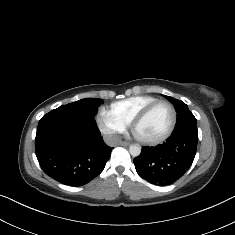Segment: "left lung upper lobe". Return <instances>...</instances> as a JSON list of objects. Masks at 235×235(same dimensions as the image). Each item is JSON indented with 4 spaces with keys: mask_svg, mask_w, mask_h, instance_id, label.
Listing matches in <instances>:
<instances>
[{
    "mask_svg": "<svg viewBox=\"0 0 235 235\" xmlns=\"http://www.w3.org/2000/svg\"><path fill=\"white\" fill-rule=\"evenodd\" d=\"M175 106L177 112V124L172 134L181 132H197V122L194 115L188 109L187 105L175 98L167 97Z\"/></svg>",
    "mask_w": 235,
    "mask_h": 235,
    "instance_id": "5c2ea615",
    "label": "left lung upper lobe"
}]
</instances>
